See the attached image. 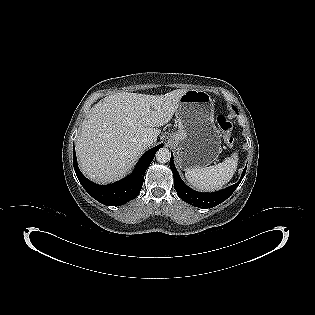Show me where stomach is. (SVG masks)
<instances>
[{"mask_svg": "<svg viewBox=\"0 0 315 315\" xmlns=\"http://www.w3.org/2000/svg\"><path fill=\"white\" fill-rule=\"evenodd\" d=\"M178 130L168 136L184 169L210 165L221 153V135L214 122V102L202 90H187L176 111Z\"/></svg>", "mask_w": 315, "mask_h": 315, "instance_id": "obj_1", "label": "stomach"}]
</instances>
